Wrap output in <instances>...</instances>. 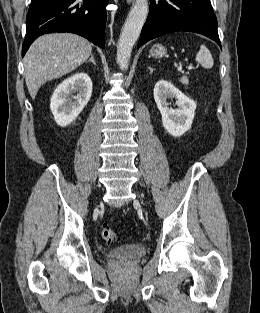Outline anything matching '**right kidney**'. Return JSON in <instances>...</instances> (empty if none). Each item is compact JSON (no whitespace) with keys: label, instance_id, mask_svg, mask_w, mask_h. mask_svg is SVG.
<instances>
[{"label":"right kidney","instance_id":"ca27d5eb","mask_svg":"<svg viewBox=\"0 0 260 313\" xmlns=\"http://www.w3.org/2000/svg\"><path fill=\"white\" fill-rule=\"evenodd\" d=\"M73 92H78L77 96H73ZM91 95L92 81L88 74L80 72L65 79L51 97L50 109L56 123L62 127L72 123L87 105Z\"/></svg>","mask_w":260,"mask_h":313}]
</instances>
